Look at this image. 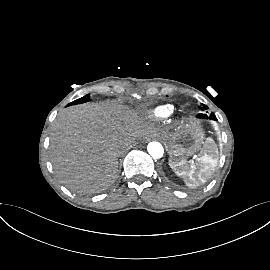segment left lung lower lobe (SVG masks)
Returning <instances> with one entry per match:
<instances>
[{"mask_svg":"<svg viewBox=\"0 0 270 270\" xmlns=\"http://www.w3.org/2000/svg\"><path fill=\"white\" fill-rule=\"evenodd\" d=\"M200 117L198 118H203V119H211V120H217L216 116L212 113L209 117L206 114H199Z\"/></svg>","mask_w":270,"mask_h":270,"instance_id":"0a47b994","label":"left lung lower lobe"}]
</instances>
